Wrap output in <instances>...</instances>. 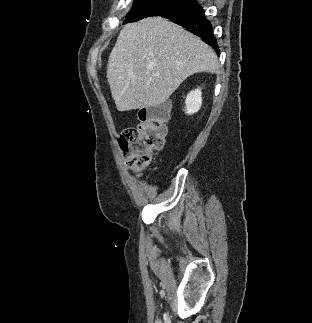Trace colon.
Here are the masks:
<instances>
[{
	"instance_id": "5ec220e1",
	"label": "colon",
	"mask_w": 312,
	"mask_h": 323,
	"mask_svg": "<svg viewBox=\"0 0 312 323\" xmlns=\"http://www.w3.org/2000/svg\"><path fill=\"white\" fill-rule=\"evenodd\" d=\"M126 141H118L119 158H130L126 161V168L134 172H142L148 168L153 160L154 153L159 150L166 140V126L163 115L153 110L149 116L135 127H128L123 132Z\"/></svg>"
}]
</instances>
